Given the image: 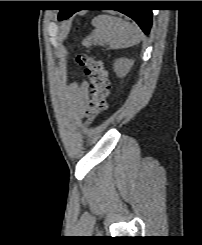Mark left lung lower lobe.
<instances>
[{"instance_id": "left-lung-lower-lobe-1", "label": "left lung lower lobe", "mask_w": 202, "mask_h": 245, "mask_svg": "<svg viewBox=\"0 0 202 245\" xmlns=\"http://www.w3.org/2000/svg\"><path fill=\"white\" fill-rule=\"evenodd\" d=\"M126 4L132 6V8L118 9L123 14H126L132 18L140 26L145 34H149L152 25V10L141 8V1H128ZM77 9H64L60 10L59 20H65L69 18L72 14L77 12Z\"/></svg>"}]
</instances>
